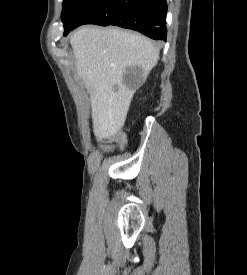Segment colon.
Segmentation results:
<instances>
[{
	"instance_id": "obj_1",
	"label": "colon",
	"mask_w": 247,
	"mask_h": 275,
	"mask_svg": "<svg viewBox=\"0 0 247 275\" xmlns=\"http://www.w3.org/2000/svg\"><path fill=\"white\" fill-rule=\"evenodd\" d=\"M124 137L122 135H115L112 137H108L106 139H104L103 141L106 143H110V142H114V141H123Z\"/></svg>"
}]
</instances>
